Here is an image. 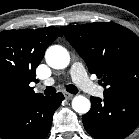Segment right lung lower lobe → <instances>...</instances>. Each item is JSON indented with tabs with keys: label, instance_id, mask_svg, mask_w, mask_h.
<instances>
[{
	"label": "right lung lower lobe",
	"instance_id": "98d812e1",
	"mask_svg": "<svg viewBox=\"0 0 139 139\" xmlns=\"http://www.w3.org/2000/svg\"><path fill=\"white\" fill-rule=\"evenodd\" d=\"M63 100V94L57 93L0 112V139H45Z\"/></svg>",
	"mask_w": 139,
	"mask_h": 139
}]
</instances>
